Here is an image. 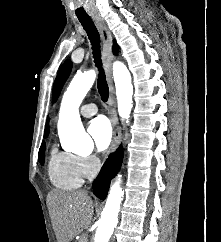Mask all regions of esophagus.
<instances>
[{
    "label": "esophagus",
    "mask_w": 221,
    "mask_h": 242,
    "mask_svg": "<svg viewBox=\"0 0 221 242\" xmlns=\"http://www.w3.org/2000/svg\"><path fill=\"white\" fill-rule=\"evenodd\" d=\"M95 23L97 24V27L100 30L102 41H103V60H104V66H105V72H106V78L109 85V115L110 120L113 128V139L111 143V149L112 151H115L117 147L119 146V143L121 141V129L118 126V121L113 109V106L115 104V91H114V85L112 80V36L104 22L99 19L95 18Z\"/></svg>",
    "instance_id": "obj_1"
}]
</instances>
